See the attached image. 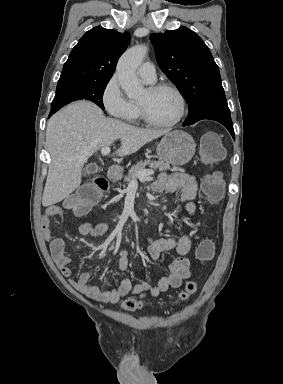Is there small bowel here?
Listing matches in <instances>:
<instances>
[{
    "mask_svg": "<svg viewBox=\"0 0 283 384\" xmlns=\"http://www.w3.org/2000/svg\"><path fill=\"white\" fill-rule=\"evenodd\" d=\"M196 179L183 172H173L170 174L160 175L153 183L155 192L181 191V201L190 215L195 212V204L193 200L197 194ZM63 208L58 205L49 206L46 209L42 219V230L45 239L49 243L52 259L61 273L69 279L71 285L83 295L95 301L102 303L115 304L123 298L130 295H136L144 298L149 293L152 297H157L161 293L166 292L169 288H179L183 282L191 275V264L187 258V254L191 249V239L187 235L179 238L167 237L154 239L147 238L148 255L152 260H158L163 252L174 250L178 257L169 265V274L161 278L157 283L143 282L133 285L129 279H123L115 288L103 290L97 285L89 284V280L99 271L96 267L92 272H85L77 278L71 277L70 258L65 253V243L59 237L51 226V218L63 215ZM109 230L107 223H90L85 222L79 226L80 234L90 237H100L105 235ZM128 264L127 251L121 250L117 262L120 270H125Z\"/></svg>",
    "mask_w": 283,
    "mask_h": 384,
    "instance_id": "c3829d8e",
    "label": "small bowel"
}]
</instances>
